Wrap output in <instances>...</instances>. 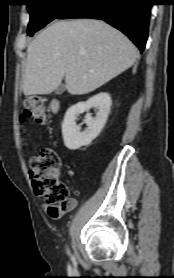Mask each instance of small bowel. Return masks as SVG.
Masks as SVG:
<instances>
[{"instance_id": "obj_1", "label": "small bowel", "mask_w": 174, "mask_h": 278, "mask_svg": "<svg viewBox=\"0 0 174 278\" xmlns=\"http://www.w3.org/2000/svg\"><path fill=\"white\" fill-rule=\"evenodd\" d=\"M77 205L76 198H69L65 204L62 205H50V204H43V208L45 212L54 219H59L67 212L72 211Z\"/></svg>"}]
</instances>
